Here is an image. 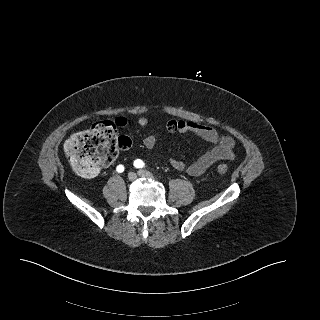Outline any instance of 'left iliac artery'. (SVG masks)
Masks as SVG:
<instances>
[{"label":"left iliac artery","instance_id":"obj_1","mask_svg":"<svg viewBox=\"0 0 320 320\" xmlns=\"http://www.w3.org/2000/svg\"><path fill=\"white\" fill-rule=\"evenodd\" d=\"M134 166L137 167V168H142V167L145 166V163L140 159H136L134 161Z\"/></svg>","mask_w":320,"mask_h":320}]
</instances>
